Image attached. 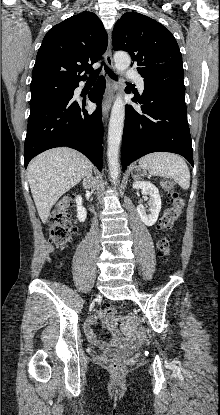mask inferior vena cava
<instances>
[{"label":"inferior vena cava","instance_id":"inferior-vena-cava-1","mask_svg":"<svg viewBox=\"0 0 220 415\" xmlns=\"http://www.w3.org/2000/svg\"><path fill=\"white\" fill-rule=\"evenodd\" d=\"M89 179H91L90 176H87L86 179H84V182H88Z\"/></svg>","mask_w":220,"mask_h":415}]
</instances>
